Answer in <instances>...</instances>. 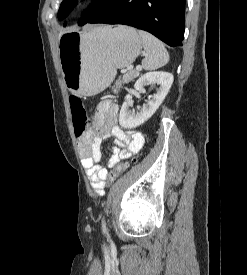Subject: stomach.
Segmentation results:
<instances>
[{"label":"stomach","instance_id":"1","mask_svg":"<svg viewBox=\"0 0 247 275\" xmlns=\"http://www.w3.org/2000/svg\"><path fill=\"white\" fill-rule=\"evenodd\" d=\"M142 39L128 26H97L66 32L59 39V60L66 87L93 96L114 80L117 69L131 65L142 50Z\"/></svg>","mask_w":247,"mask_h":275}]
</instances>
